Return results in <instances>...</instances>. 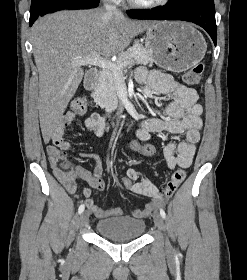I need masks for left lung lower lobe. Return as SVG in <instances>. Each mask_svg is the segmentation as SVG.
Instances as JSON below:
<instances>
[{
	"instance_id": "1",
	"label": "left lung lower lobe",
	"mask_w": 247,
	"mask_h": 280,
	"mask_svg": "<svg viewBox=\"0 0 247 280\" xmlns=\"http://www.w3.org/2000/svg\"><path fill=\"white\" fill-rule=\"evenodd\" d=\"M135 19L183 20L204 28L217 42L214 0H197L187 4L170 6L167 4L154 11L128 12Z\"/></svg>"
}]
</instances>
